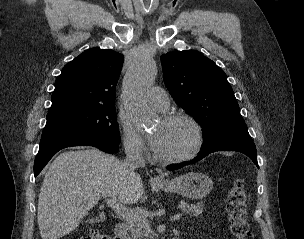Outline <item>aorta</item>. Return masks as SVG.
I'll list each match as a JSON object with an SVG mask.
<instances>
[{"label": "aorta", "mask_w": 304, "mask_h": 239, "mask_svg": "<svg viewBox=\"0 0 304 239\" xmlns=\"http://www.w3.org/2000/svg\"><path fill=\"white\" fill-rule=\"evenodd\" d=\"M156 65L151 57H138L123 83L122 98L127 110L139 124H149L152 119L145 97L146 90L153 84Z\"/></svg>", "instance_id": "aorta-1"}]
</instances>
